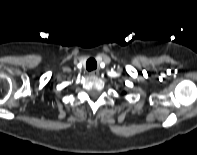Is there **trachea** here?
I'll use <instances>...</instances> for the list:
<instances>
[{
    "instance_id": "obj_1",
    "label": "trachea",
    "mask_w": 197,
    "mask_h": 155,
    "mask_svg": "<svg viewBox=\"0 0 197 155\" xmlns=\"http://www.w3.org/2000/svg\"><path fill=\"white\" fill-rule=\"evenodd\" d=\"M97 68V62L95 59L93 58H90L87 63H86V69L88 71H92V70H95Z\"/></svg>"
}]
</instances>
